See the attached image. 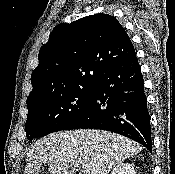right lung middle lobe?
Listing matches in <instances>:
<instances>
[{"label": "right lung middle lobe", "mask_w": 175, "mask_h": 174, "mask_svg": "<svg viewBox=\"0 0 175 174\" xmlns=\"http://www.w3.org/2000/svg\"><path fill=\"white\" fill-rule=\"evenodd\" d=\"M93 85L67 90L27 106L29 140L61 131L87 107Z\"/></svg>", "instance_id": "1"}]
</instances>
